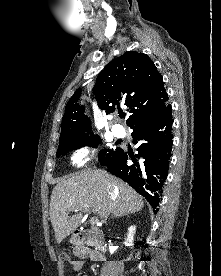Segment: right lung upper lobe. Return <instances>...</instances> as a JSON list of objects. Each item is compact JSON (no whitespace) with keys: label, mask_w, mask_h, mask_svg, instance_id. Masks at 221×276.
Listing matches in <instances>:
<instances>
[{"label":"right lung upper lobe","mask_w":221,"mask_h":276,"mask_svg":"<svg viewBox=\"0 0 221 276\" xmlns=\"http://www.w3.org/2000/svg\"><path fill=\"white\" fill-rule=\"evenodd\" d=\"M100 109L106 114L129 107V127L158 115L168 105V95L161 74L144 53L127 52L107 64L97 76L93 88ZM77 89L65 107L59 142L92 134L91 121L78 103Z\"/></svg>","instance_id":"right-lung-upper-lobe-1"}]
</instances>
